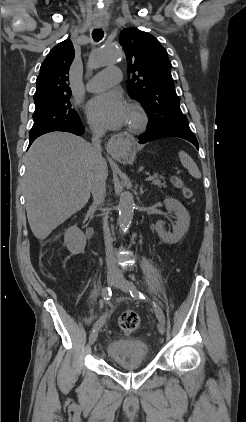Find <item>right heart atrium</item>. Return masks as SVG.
I'll return each mask as SVG.
<instances>
[{
    "instance_id": "obj_1",
    "label": "right heart atrium",
    "mask_w": 246,
    "mask_h": 422,
    "mask_svg": "<svg viewBox=\"0 0 246 422\" xmlns=\"http://www.w3.org/2000/svg\"><path fill=\"white\" fill-rule=\"evenodd\" d=\"M93 131L96 132V133L100 132L99 129L95 128V127H93Z\"/></svg>"
}]
</instances>
